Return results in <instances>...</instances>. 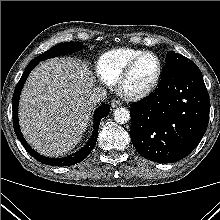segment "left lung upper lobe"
<instances>
[{
	"instance_id": "obj_1",
	"label": "left lung upper lobe",
	"mask_w": 220,
	"mask_h": 220,
	"mask_svg": "<svg viewBox=\"0 0 220 220\" xmlns=\"http://www.w3.org/2000/svg\"><path fill=\"white\" fill-rule=\"evenodd\" d=\"M165 61H166V64H171V63L189 61V59L180 54H177L174 52H168L166 55Z\"/></svg>"
}]
</instances>
